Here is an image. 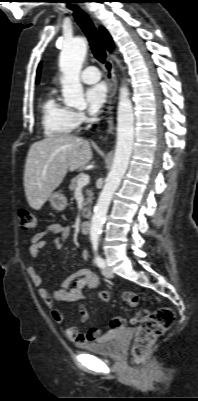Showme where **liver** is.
I'll use <instances>...</instances> for the list:
<instances>
[{"instance_id":"6515ba94","label":"liver","mask_w":198,"mask_h":401,"mask_svg":"<svg viewBox=\"0 0 198 401\" xmlns=\"http://www.w3.org/2000/svg\"><path fill=\"white\" fill-rule=\"evenodd\" d=\"M92 159L90 143L71 135H51L33 143L24 170V188L30 207L40 210L68 171L85 167Z\"/></svg>"}]
</instances>
